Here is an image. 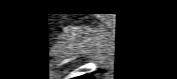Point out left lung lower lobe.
I'll use <instances>...</instances> for the list:
<instances>
[{
    "label": "left lung lower lobe",
    "mask_w": 177,
    "mask_h": 79,
    "mask_svg": "<svg viewBox=\"0 0 177 79\" xmlns=\"http://www.w3.org/2000/svg\"><path fill=\"white\" fill-rule=\"evenodd\" d=\"M79 79H89L90 77H78Z\"/></svg>",
    "instance_id": "0a47b994"
}]
</instances>
